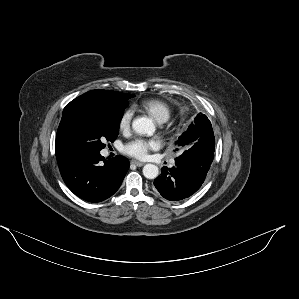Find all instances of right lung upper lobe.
<instances>
[{
	"instance_id": "right-lung-upper-lobe-1",
	"label": "right lung upper lobe",
	"mask_w": 299,
	"mask_h": 299,
	"mask_svg": "<svg viewBox=\"0 0 299 299\" xmlns=\"http://www.w3.org/2000/svg\"><path fill=\"white\" fill-rule=\"evenodd\" d=\"M127 95L130 94L111 91V90H92L75 98L69 104L66 105V107L63 110L62 119L56 135V157L59 165L64 164L65 162L69 161L73 157L79 155L78 153L73 151L71 147L68 145L63 133L64 120L68 112L73 107L82 103H100L105 105H112L120 101Z\"/></svg>"
}]
</instances>
